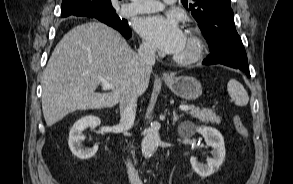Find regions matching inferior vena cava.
<instances>
[{"label":"inferior vena cava","mask_w":293,"mask_h":184,"mask_svg":"<svg viewBox=\"0 0 293 184\" xmlns=\"http://www.w3.org/2000/svg\"><path fill=\"white\" fill-rule=\"evenodd\" d=\"M155 50V47L149 43H143L138 50L139 65L146 73L152 71V66L155 63ZM138 96V92L128 89L120 98V125L125 130L130 129L134 124ZM127 171L130 184H142L130 161L127 163Z\"/></svg>","instance_id":"obj_1"}]
</instances>
